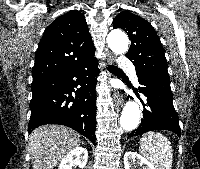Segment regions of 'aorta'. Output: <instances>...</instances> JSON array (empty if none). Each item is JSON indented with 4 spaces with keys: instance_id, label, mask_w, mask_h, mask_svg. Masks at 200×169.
<instances>
[{
    "instance_id": "obj_1",
    "label": "aorta",
    "mask_w": 200,
    "mask_h": 169,
    "mask_svg": "<svg viewBox=\"0 0 200 169\" xmlns=\"http://www.w3.org/2000/svg\"><path fill=\"white\" fill-rule=\"evenodd\" d=\"M109 48L116 54H123L128 51L129 40L125 33L113 31L107 37ZM140 122V107L135 101L125 104L121 117L120 125L124 131L135 130Z\"/></svg>"
}]
</instances>
